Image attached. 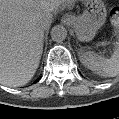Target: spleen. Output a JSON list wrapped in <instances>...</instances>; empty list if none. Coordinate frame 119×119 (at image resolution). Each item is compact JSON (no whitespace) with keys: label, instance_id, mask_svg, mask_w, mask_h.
Returning a JSON list of instances; mask_svg holds the SVG:
<instances>
[{"label":"spleen","instance_id":"3e777b00","mask_svg":"<svg viewBox=\"0 0 119 119\" xmlns=\"http://www.w3.org/2000/svg\"><path fill=\"white\" fill-rule=\"evenodd\" d=\"M81 63L101 77H115L119 75V42L110 58L101 57L94 51L85 50L80 53Z\"/></svg>","mask_w":119,"mask_h":119}]
</instances>
